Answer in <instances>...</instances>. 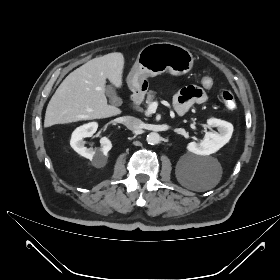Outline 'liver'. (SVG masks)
Masks as SVG:
<instances>
[{
    "label": "liver",
    "instance_id": "6515ba94",
    "mask_svg": "<svg viewBox=\"0 0 280 280\" xmlns=\"http://www.w3.org/2000/svg\"><path fill=\"white\" fill-rule=\"evenodd\" d=\"M124 56L120 52L94 58L71 72L50 99L44 127L81 120L102 119L122 111L108 105L105 84L122 86Z\"/></svg>",
    "mask_w": 280,
    "mask_h": 280
}]
</instances>
